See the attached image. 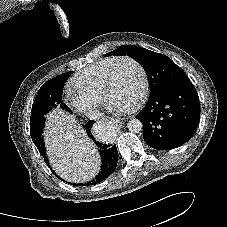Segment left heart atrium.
<instances>
[{
	"label": "left heart atrium",
	"mask_w": 227,
	"mask_h": 227,
	"mask_svg": "<svg viewBox=\"0 0 227 227\" xmlns=\"http://www.w3.org/2000/svg\"><path fill=\"white\" fill-rule=\"evenodd\" d=\"M111 110L115 111V112H123L126 109H129V106H121V105H114L111 104L110 105Z\"/></svg>",
	"instance_id": "1"
}]
</instances>
